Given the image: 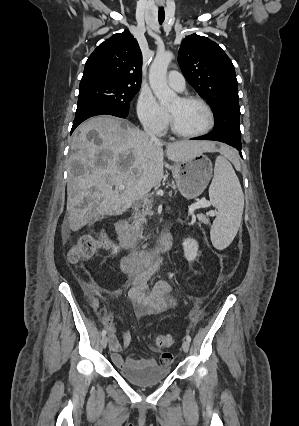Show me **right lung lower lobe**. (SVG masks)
<instances>
[{"mask_svg":"<svg viewBox=\"0 0 299 426\" xmlns=\"http://www.w3.org/2000/svg\"><path fill=\"white\" fill-rule=\"evenodd\" d=\"M113 115L121 118H125L127 114L116 110L114 107L109 105L101 104V103H85L80 106H77L75 119L73 122V126L71 129V133L75 130V128L84 120L96 116V115Z\"/></svg>","mask_w":299,"mask_h":426,"instance_id":"98d812e1","label":"right lung lower lobe"}]
</instances>
